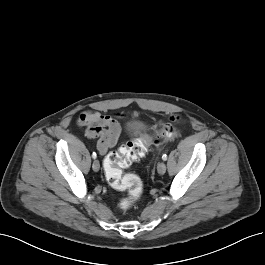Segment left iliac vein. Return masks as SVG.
I'll return each mask as SVG.
<instances>
[{
  "label": "left iliac vein",
  "mask_w": 265,
  "mask_h": 265,
  "mask_svg": "<svg viewBox=\"0 0 265 265\" xmlns=\"http://www.w3.org/2000/svg\"><path fill=\"white\" fill-rule=\"evenodd\" d=\"M157 171L160 175H163L166 172V164L164 162H160L158 164Z\"/></svg>",
  "instance_id": "left-iliac-vein-1"
}]
</instances>
